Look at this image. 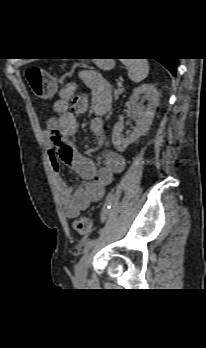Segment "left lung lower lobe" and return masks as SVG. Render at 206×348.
<instances>
[{
	"instance_id": "0a47b994",
	"label": "left lung lower lobe",
	"mask_w": 206,
	"mask_h": 348,
	"mask_svg": "<svg viewBox=\"0 0 206 348\" xmlns=\"http://www.w3.org/2000/svg\"><path fill=\"white\" fill-rule=\"evenodd\" d=\"M157 61L163 64L174 76L176 75L177 58L157 59Z\"/></svg>"
}]
</instances>
